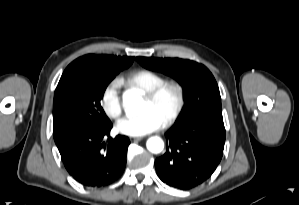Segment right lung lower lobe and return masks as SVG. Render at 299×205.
Segmentation results:
<instances>
[{
  "mask_svg": "<svg viewBox=\"0 0 299 205\" xmlns=\"http://www.w3.org/2000/svg\"><path fill=\"white\" fill-rule=\"evenodd\" d=\"M112 123L100 128L77 132L58 147L65 168L84 186L101 187L112 184L123 173L126 165L128 137L109 136Z\"/></svg>",
  "mask_w": 299,
  "mask_h": 205,
  "instance_id": "98d812e1",
  "label": "right lung lower lobe"
}]
</instances>
